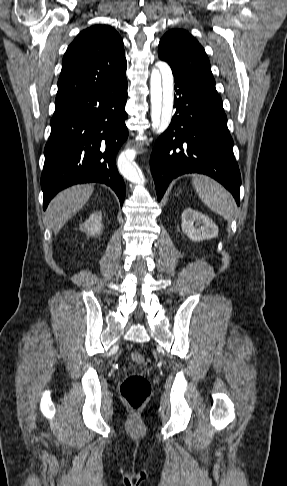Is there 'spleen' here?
Returning a JSON list of instances; mask_svg holds the SVG:
<instances>
[{
	"label": "spleen",
	"mask_w": 287,
	"mask_h": 486,
	"mask_svg": "<svg viewBox=\"0 0 287 486\" xmlns=\"http://www.w3.org/2000/svg\"><path fill=\"white\" fill-rule=\"evenodd\" d=\"M192 183L199 198L208 208L228 221L232 219L233 202L221 184L205 175H194Z\"/></svg>",
	"instance_id": "obj_1"
}]
</instances>
